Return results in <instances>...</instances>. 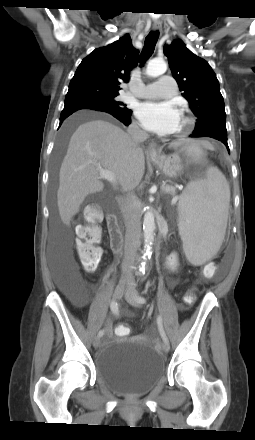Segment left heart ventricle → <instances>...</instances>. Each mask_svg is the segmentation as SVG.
Returning <instances> with one entry per match:
<instances>
[{"label": "left heart ventricle", "mask_w": 255, "mask_h": 440, "mask_svg": "<svg viewBox=\"0 0 255 440\" xmlns=\"http://www.w3.org/2000/svg\"><path fill=\"white\" fill-rule=\"evenodd\" d=\"M182 125H183V120H182V117H180V121H179V124H178L177 131L182 127Z\"/></svg>", "instance_id": "left-heart-ventricle-1"}]
</instances>
